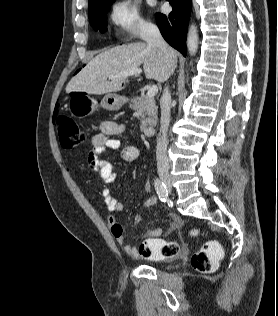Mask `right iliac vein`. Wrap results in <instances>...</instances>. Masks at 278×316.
<instances>
[{
    "mask_svg": "<svg viewBox=\"0 0 278 316\" xmlns=\"http://www.w3.org/2000/svg\"><path fill=\"white\" fill-rule=\"evenodd\" d=\"M161 181L167 186L168 190L171 191V181L167 173H160Z\"/></svg>",
    "mask_w": 278,
    "mask_h": 316,
    "instance_id": "1",
    "label": "right iliac vein"
}]
</instances>
